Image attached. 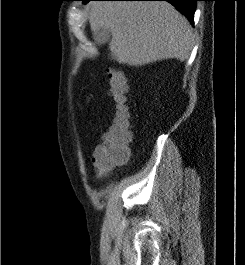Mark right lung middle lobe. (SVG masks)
Returning <instances> with one entry per match:
<instances>
[{
	"label": "right lung middle lobe",
	"instance_id": "1",
	"mask_svg": "<svg viewBox=\"0 0 245 265\" xmlns=\"http://www.w3.org/2000/svg\"><path fill=\"white\" fill-rule=\"evenodd\" d=\"M81 1H83L84 3H86L88 0H81Z\"/></svg>",
	"mask_w": 245,
	"mask_h": 265
}]
</instances>
